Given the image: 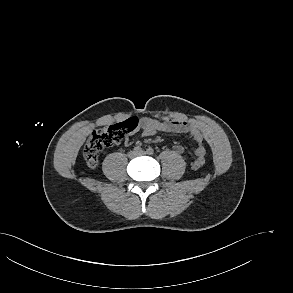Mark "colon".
Returning a JSON list of instances; mask_svg holds the SVG:
<instances>
[{"label":"colon","mask_w":293,"mask_h":293,"mask_svg":"<svg viewBox=\"0 0 293 293\" xmlns=\"http://www.w3.org/2000/svg\"><path fill=\"white\" fill-rule=\"evenodd\" d=\"M137 127V120L130 118L119 124L110 125L95 130L83 148V158L89 167H96L99 154L108 147L118 144L127 133ZM204 163V158L197 159L193 164L194 170L199 169Z\"/></svg>","instance_id":"1"}]
</instances>
